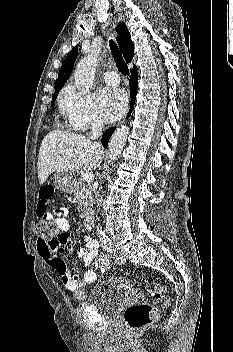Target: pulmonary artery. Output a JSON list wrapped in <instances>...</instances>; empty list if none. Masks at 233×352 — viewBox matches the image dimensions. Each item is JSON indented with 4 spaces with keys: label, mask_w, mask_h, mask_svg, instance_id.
I'll return each mask as SVG.
<instances>
[{
    "label": "pulmonary artery",
    "mask_w": 233,
    "mask_h": 352,
    "mask_svg": "<svg viewBox=\"0 0 233 352\" xmlns=\"http://www.w3.org/2000/svg\"><path fill=\"white\" fill-rule=\"evenodd\" d=\"M103 79L108 85L115 86L119 83V77L114 71H107L103 74Z\"/></svg>",
    "instance_id": "1"
}]
</instances>
